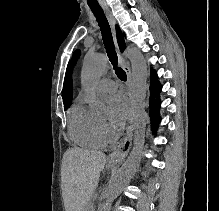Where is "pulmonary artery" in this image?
Here are the masks:
<instances>
[{
	"label": "pulmonary artery",
	"instance_id": "1",
	"mask_svg": "<svg viewBox=\"0 0 219 211\" xmlns=\"http://www.w3.org/2000/svg\"><path fill=\"white\" fill-rule=\"evenodd\" d=\"M117 89L116 83L109 78H103L101 79L96 87V91L98 93H113Z\"/></svg>",
	"mask_w": 219,
	"mask_h": 211
}]
</instances>
